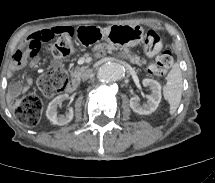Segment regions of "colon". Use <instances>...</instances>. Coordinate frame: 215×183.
Instances as JSON below:
<instances>
[{"label": "colon", "instance_id": "5ec220e1", "mask_svg": "<svg viewBox=\"0 0 215 183\" xmlns=\"http://www.w3.org/2000/svg\"><path fill=\"white\" fill-rule=\"evenodd\" d=\"M73 31H64L56 34L52 48V53L56 57H67L74 52ZM51 39V40H52ZM50 41V40H49ZM42 42L36 39L26 43L20 52L22 56L34 57L39 53ZM144 52L149 57H154V61L149 64V70L153 74L165 73L173 64L172 53L168 50H162V41L160 36L154 30H148L143 42ZM66 75L63 71L57 70L42 74L38 80V88L46 96H52L62 91L66 85ZM16 119L24 126H35L42 114V100L29 94L16 99L12 104Z\"/></svg>", "mask_w": 215, "mask_h": 183}]
</instances>
